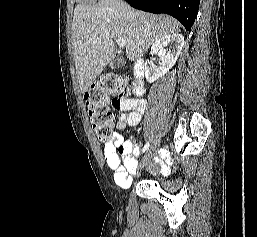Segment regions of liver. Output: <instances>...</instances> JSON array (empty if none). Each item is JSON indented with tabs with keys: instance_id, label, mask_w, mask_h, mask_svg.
I'll return each mask as SVG.
<instances>
[{
	"instance_id": "6515ba94",
	"label": "liver",
	"mask_w": 257,
	"mask_h": 237,
	"mask_svg": "<svg viewBox=\"0 0 257 237\" xmlns=\"http://www.w3.org/2000/svg\"><path fill=\"white\" fill-rule=\"evenodd\" d=\"M177 21L131 8L121 0L78 4L72 23L73 54L80 91L85 93L116 56L115 39H123L126 57L135 61L161 37L178 33Z\"/></svg>"
}]
</instances>
